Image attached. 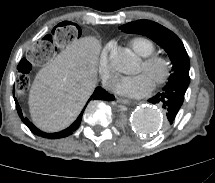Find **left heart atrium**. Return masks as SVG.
<instances>
[{"label":"left heart atrium","instance_id":"39dd6f15","mask_svg":"<svg viewBox=\"0 0 215 183\" xmlns=\"http://www.w3.org/2000/svg\"><path fill=\"white\" fill-rule=\"evenodd\" d=\"M152 88L153 82L146 73L124 77L116 86L118 93L130 97L144 96L148 94Z\"/></svg>","mask_w":215,"mask_h":183}]
</instances>
